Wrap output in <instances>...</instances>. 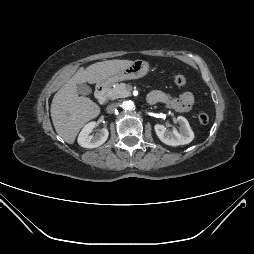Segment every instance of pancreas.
Wrapping results in <instances>:
<instances>
[{
  "instance_id": "cf45deb5",
  "label": "pancreas",
  "mask_w": 254,
  "mask_h": 254,
  "mask_svg": "<svg viewBox=\"0 0 254 254\" xmlns=\"http://www.w3.org/2000/svg\"><path fill=\"white\" fill-rule=\"evenodd\" d=\"M132 87L125 83H117L112 89H110L106 96L109 100H116L122 97H128L131 94Z\"/></svg>"
}]
</instances>
